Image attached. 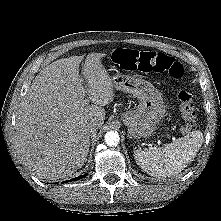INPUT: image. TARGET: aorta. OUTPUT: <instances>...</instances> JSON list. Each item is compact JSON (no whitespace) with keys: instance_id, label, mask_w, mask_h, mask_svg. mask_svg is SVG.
<instances>
[{"instance_id":"aorta-1","label":"aorta","mask_w":221,"mask_h":221,"mask_svg":"<svg viewBox=\"0 0 221 221\" xmlns=\"http://www.w3.org/2000/svg\"><path fill=\"white\" fill-rule=\"evenodd\" d=\"M120 137L118 132L109 131L105 134V142L108 146H116L119 143Z\"/></svg>"}]
</instances>
